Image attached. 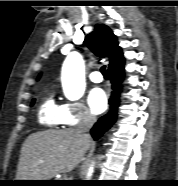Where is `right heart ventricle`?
<instances>
[{"label":"right heart ventricle","instance_id":"obj_1","mask_svg":"<svg viewBox=\"0 0 178 186\" xmlns=\"http://www.w3.org/2000/svg\"><path fill=\"white\" fill-rule=\"evenodd\" d=\"M39 123L48 129H59L65 123L64 105L57 103L54 96L47 97L38 110Z\"/></svg>","mask_w":178,"mask_h":186}]
</instances>
